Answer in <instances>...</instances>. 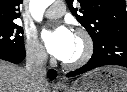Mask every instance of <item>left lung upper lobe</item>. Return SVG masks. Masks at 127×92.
Listing matches in <instances>:
<instances>
[{
	"label": "left lung upper lobe",
	"instance_id": "1",
	"mask_svg": "<svg viewBox=\"0 0 127 92\" xmlns=\"http://www.w3.org/2000/svg\"><path fill=\"white\" fill-rule=\"evenodd\" d=\"M70 10L88 31L97 47L108 37H127V12L124 0H78L81 8L73 7L74 0H66Z\"/></svg>",
	"mask_w": 127,
	"mask_h": 92
}]
</instances>
